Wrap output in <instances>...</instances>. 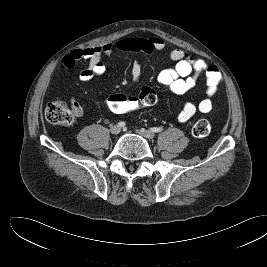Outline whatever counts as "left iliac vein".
Segmentation results:
<instances>
[{
  "label": "left iliac vein",
  "mask_w": 267,
  "mask_h": 267,
  "mask_svg": "<svg viewBox=\"0 0 267 267\" xmlns=\"http://www.w3.org/2000/svg\"><path fill=\"white\" fill-rule=\"evenodd\" d=\"M137 134L145 137V138H148V139H153L155 137V134L152 132V131H149V130H145V129H138V130H135Z\"/></svg>",
  "instance_id": "obj_1"
}]
</instances>
